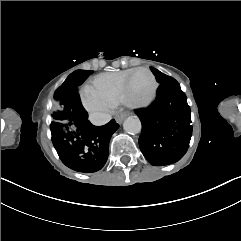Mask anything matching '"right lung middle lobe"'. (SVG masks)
Masks as SVG:
<instances>
[{"label":"right lung middle lobe","instance_id":"1","mask_svg":"<svg viewBox=\"0 0 241 241\" xmlns=\"http://www.w3.org/2000/svg\"><path fill=\"white\" fill-rule=\"evenodd\" d=\"M92 72L93 71L77 70L69 75L66 81L56 90L51 104V126L67 124L72 121L71 113L65 100V91L68 89L67 81H73L75 84L81 85Z\"/></svg>","mask_w":241,"mask_h":241}]
</instances>
